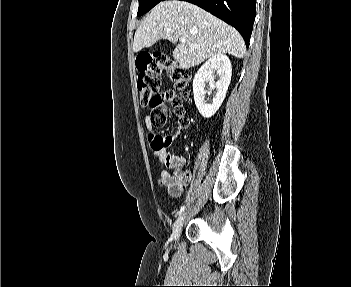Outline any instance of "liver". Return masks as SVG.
<instances>
[{
	"mask_svg": "<svg viewBox=\"0 0 351 287\" xmlns=\"http://www.w3.org/2000/svg\"><path fill=\"white\" fill-rule=\"evenodd\" d=\"M180 42L173 58L182 69L196 66L216 54L243 58L246 52L240 33L200 7L185 1H163L144 18L135 32L133 51L151 47L160 39ZM190 44L197 45L191 47Z\"/></svg>",
	"mask_w": 351,
	"mask_h": 287,
	"instance_id": "obj_1",
	"label": "liver"
}]
</instances>
